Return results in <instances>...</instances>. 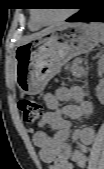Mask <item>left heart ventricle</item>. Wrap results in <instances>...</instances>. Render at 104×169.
Returning a JSON list of instances; mask_svg holds the SVG:
<instances>
[{
  "instance_id": "b2bd125f",
  "label": "left heart ventricle",
  "mask_w": 104,
  "mask_h": 169,
  "mask_svg": "<svg viewBox=\"0 0 104 169\" xmlns=\"http://www.w3.org/2000/svg\"><path fill=\"white\" fill-rule=\"evenodd\" d=\"M63 13L64 11H62V9H47V10H40L37 12L38 17L44 21L55 20L60 16H62Z\"/></svg>"
}]
</instances>
